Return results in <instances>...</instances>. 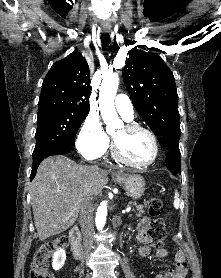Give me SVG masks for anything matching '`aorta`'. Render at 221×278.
I'll return each mask as SVG.
<instances>
[{
  "label": "aorta",
  "instance_id": "1",
  "mask_svg": "<svg viewBox=\"0 0 221 278\" xmlns=\"http://www.w3.org/2000/svg\"><path fill=\"white\" fill-rule=\"evenodd\" d=\"M119 85L118 74H110L103 78L100 92H99V108L105 123L108 124L110 119H117V113L114 105V99L117 93ZM107 216V202L103 201L96 212V227L98 230H102Z\"/></svg>",
  "mask_w": 221,
  "mask_h": 278
}]
</instances>
